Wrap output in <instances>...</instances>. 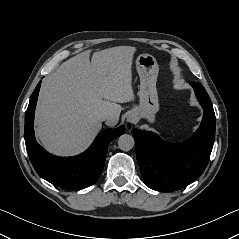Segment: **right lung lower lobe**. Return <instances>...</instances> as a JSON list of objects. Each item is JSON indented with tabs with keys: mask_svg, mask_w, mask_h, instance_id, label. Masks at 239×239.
<instances>
[{
	"mask_svg": "<svg viewBox=\"0 0 239 239\" xmlns=\"http://www.w3.org/2000/svg\"><path fill=\"white\" fill-rule=\"evenodd\" d=\"M41 81L31 95L25 114V144L30 161L40 177L64 189H82L97 182L103 171L108 144L125 132L124 126L106 129L90 148L74 157H57L46 152L34 136L35 106Z\"/></svg>",
	"mask_w": 239,
	"mask_h": 239,
	"instance_id": "obj_1",
	"label": "right lung lower lobe"
}]
</instances>
